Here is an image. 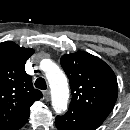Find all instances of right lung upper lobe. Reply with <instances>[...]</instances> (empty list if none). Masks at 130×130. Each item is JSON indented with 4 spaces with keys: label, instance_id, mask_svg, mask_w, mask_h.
<instances>
[{
    "label": "right lung upper lobe",
    "instance_id": "obj_1",
    "mask_svg": "<svg viewBox=\"0 0 130 130\" xmlns=\"http://www.w3.org/2000/svg\"><path fill=\"white\" fill-rule=\"evenodd\" d=\"M33 53V49L11 41L0 43V130L23 127L31 105L42 97L24 69Z\"/></svg>",
    "mask_w": 130,
    "mask_h": 130
}]
</instances>
